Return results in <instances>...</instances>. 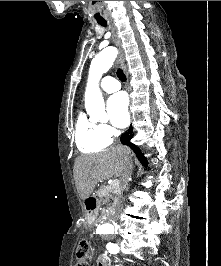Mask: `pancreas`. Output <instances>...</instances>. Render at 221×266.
<instances>
[{
	"instance_id": "cf45deb5",
	"label": "pancreas",
	"mask_w": 221,
	"mask_h": 266,
	"mask_svg": "<svg viewBox=\"0 0 221 266\" xmlns=\"http://www.w3.org/2000/svg\"><path fill=\"white\" fill-rule=\"evenodd\" d=\"M97 194L103 203H108L110 200L112 201V208L115 206V204L118 201V195H119V188H112L109 186H102L98 191Z\"/></svg>"
}]
</instances>
